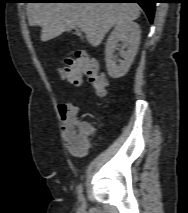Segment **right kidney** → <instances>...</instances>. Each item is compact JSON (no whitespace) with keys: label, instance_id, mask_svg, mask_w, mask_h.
<instances>
[{"label":"right kidney","instance_id":"obj_1","mask_svg":"<svg viewBox=\"0 0 188 213\" xmlns=\"http://www.w3.org/2000/svg\"><path fill=\"white\" fill-rule=\"evenodd\" d=\"M140 34L139 24L133 21L120 23L114 27L105 46L106 67L110 77L117 79L128 72L140 44ZM119 41L124 44L120 49V56L123 60H120L117 65L114 52Z\"/></svg>","mask_w":188,"mask_h":213}]
</instances>
